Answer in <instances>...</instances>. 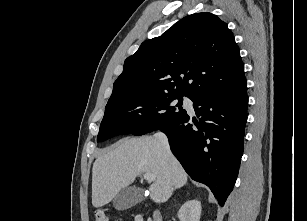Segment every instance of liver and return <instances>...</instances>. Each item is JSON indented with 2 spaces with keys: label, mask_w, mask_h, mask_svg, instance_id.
<instances>
[{
  "label": "liver",
  "mask_w": 307,
  "mask_h": 221,
  "mask_svg": "<svg viewBox=\"0 0 307 221\" xmlns=\"http://www.w3.org/2000/svg\"><path fill=\"white\" fill-rule=\"evenodd\" d=\"M142 173L155 176L149 190L156 203L166 202L188 178L171 151L155 136L124 139L102 152L93 164L92 205L99 208L108 204Z\"/></svg>",
  "instance_id": "1"
}]
</instances>
